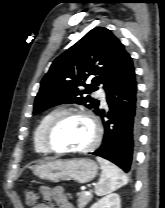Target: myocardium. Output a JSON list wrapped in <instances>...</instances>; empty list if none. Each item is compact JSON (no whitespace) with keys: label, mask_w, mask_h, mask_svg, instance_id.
I'll use <instances>...</instances> for the list:
<instances>
[{"label":"myocardium","mask_w":165,"mask_h":208,"mask_svg":"<svg viewBox=\"0 0 165 208\" xmlns=\"http://www.w3.org/2000/svg\"><path fill=\"white\" fill-rule=\"evenodd\" d=\"M70 117H81L87 119L93 128V138L91 142L79 149H59L51 142L52 132L59 126L61 122ZM102 136L101 126L97 118L91 113L84 110H65L58 114L46 127L43 135V140L46 148L52 153L58 154H82L93 150L99 144Z\"/></svg>","instance_id":"obj_1"}]
</instances>
